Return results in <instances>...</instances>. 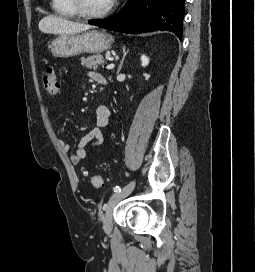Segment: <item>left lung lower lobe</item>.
Instances as JSON below:
<instances>
[{
  "label": "left lung lower lobe",
  "instance_id": "left-lung-lower-lobe-1",
  "mask_svg": "<svg viewBox=\"0 0 255 272\" xmlns=\"http://www.w3.org/2000/svg\"><path fill=\"white\" fill-rule=\"evenodd\" d=\"M184 3L185 0H128L118 14L89 24L129 34L167 30L182 40Z\"/></svg>",
  "mask_w": 255,
  "mask_h": 272
}]
</instances>
